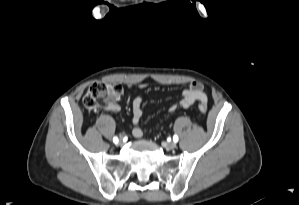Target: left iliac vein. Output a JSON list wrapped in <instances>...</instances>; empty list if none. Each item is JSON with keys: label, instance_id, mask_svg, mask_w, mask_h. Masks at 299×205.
<instances>
[{"label": "left iliac vein", "instance_id": "obj_1", "mask_svg": "<svg viewBox=\"0 0 299 205\" xmlns=\"http://www.w3.org/2000/svg\"><path fill=\"white\" fill-rule=\"evenodd\" d=\"M163 146L167 149V150H172L174 148H176V142L171 141V142H165L163 143Z\"/></svg>", "mask_w": 299, "mask_h": 205}]
</instances>
